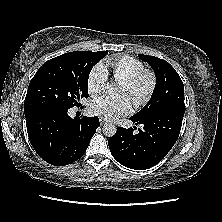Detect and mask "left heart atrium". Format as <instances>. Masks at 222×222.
<instances>
[{
    "mask_svg": "<svg viewBox=\"0 0 222 222\" xmlns=\"http://www.w3.org/2000/svg\"><path fill=\"white\" fill-rule=\"evenodd\" d=\"M131 108L126 95H104L94 99L90 106L93 114L110 121L128 114Z\"/></svg>",
    "mask_w": 222,
    "mask_h": 222,
    "instance_id": "39dd6f15",
    "label": "left heart atrium"
}]
</instances>
